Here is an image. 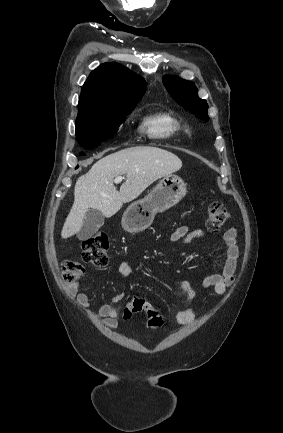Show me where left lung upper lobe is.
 <instances>
[{
  "label": "left lung upper lobe",
  "instance_id": "1",
  "mask_svg": "<svg viewBox=\"0 0 283 433\" xmlns=\"http://www.w3.org/2000/svg\"><path fill=\"white\" fill-rule=\"evenodd\" d=\"M162 80L167 91L180 106L205 122L209 120L208 104L206 100L198 97V90L193 82L171 76H164Z\"/></svg>",
  "mask_w": 283,
  "mask_h": 433
}]
</instances>
